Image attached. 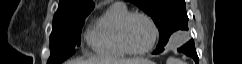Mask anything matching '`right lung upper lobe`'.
<instances>
[{
    "mask_svg": "<svg viewBox=\"0 0 242 64\" xmlns=\"http://www.w3.org/2000/svg\"><path fill=\"white\" fill-rule=\"evenodd\" d=\"M94 7L95 4L92 0H60L53 21L76 18L90 13Z\"/></svg>",
    "mask_w": 242,
    "mask_h": 64,
    "instance_id": "cb5924a9",
    "label": "right lung upper lobe"
}]
</instances>
